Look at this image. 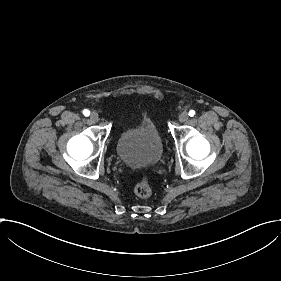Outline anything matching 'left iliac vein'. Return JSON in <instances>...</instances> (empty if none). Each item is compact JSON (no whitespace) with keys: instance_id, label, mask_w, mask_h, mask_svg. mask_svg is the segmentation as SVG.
<instances>
[{"instance_id":"left-iliac-vein-1","label":"left iliac vein","mask_w":281,"mask_h":281,"mask_svg":"<svg viewBox=\"0 0 281 281\" xmlns=\"http://www.w3.org/2000/svg\"><path fill=\"white\" fill-rule=\"evenodd\" d=\"M188 112L187 111H182L181 112V114H180V116H179V119H180V121L182 122V123H185L186 121H187V119H188Z\"/></svg>"}]
</instances>
